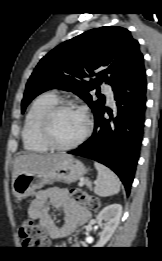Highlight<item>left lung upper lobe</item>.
Listing matches in <instances>:
<instances>
[{
  "instance_id": "5c2ea615",
  "label": "left lung upper lobe",
  "mask_w": 162,
  "mask_h": 261,
  "mask_svg": "<svg viewBox=\"0 0 162 261\" xmlns=\"http://www.w3.org/2000/svg\"><path fill=\"white\" fill-rule=\"evenodd\" d=\"M142 61L139 43L127 29L105 26L84 32L40 60L26 84L21 112L37 95L58 88L81 97L95 114L104 106L105 98L97 92L98 99L93 101L90 91L103 81L113 87ZM91 76L96 79L89 80Z\"/></svg>"
}]
</instances>
